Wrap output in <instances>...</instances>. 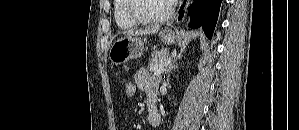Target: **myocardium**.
<instances>
[{
    "label": "myocardium",
    "mask_w": 299,
    "mask_h": 130,
    "mask_svg": "<svg viewBox=\"0 0 299 130\" xmlns=\"http://www.w3.org/2000/svg\"><path fill=\"white\" fill-rule=\"evenodd\" d=\"M139 1L142 0H128V8H127L128 15L130 16V18L139 24H157V23L167 22L174 15L175 6L174 4H170L169 10L165 15L158 16V17L146 16L140 13L138 10Z\"/></svg>",
    "instance_id": "1"
}]
</instances>
